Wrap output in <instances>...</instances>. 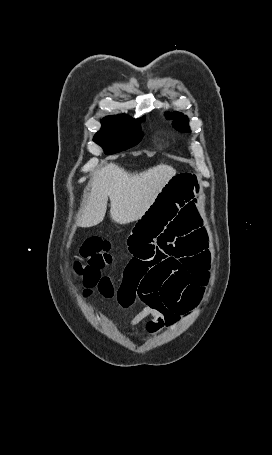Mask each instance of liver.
<instances>
[{
  "label": "liver",
  "instance_id": "6515ba94",
  "mask_svg": "<svg viewBox=\"0 0 272 455\" xmlns=\"http://www.w3.org/2000/svg\"><path fill=\"white\" fill-rule=\"evenodd\" d=\"M176 170L159 164L140 173H130L110 163L93 174L90 193L81 209L77 224L92 227L103 221L110 199V216L118 224L140 219L158 194L174 177Z\"/></svg>",
  "mask_w": 272,
  "mask_h": 455
}]
</instances>
